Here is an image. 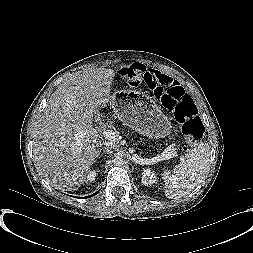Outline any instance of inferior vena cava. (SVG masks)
Segmentation results:
<instances>
[{
    "mask_svg": "<svg viewBox=\"0 0 253 253\" xmlns=\"http://www.w3.org/2000/svg\"><path fill=\"white\" fill-rule=\"evenodd\" d=\"M106 147H103V149L107 152V153H111L112 152V145L110 143H105L104 144Z\"/></svg>",
    "mask_w": 253,
    "mask_h": 253,
    "instance_id": "602c4592",
    "label": "inferior vena cava"
}]
</instances>
